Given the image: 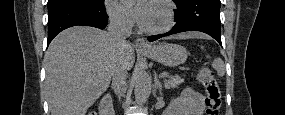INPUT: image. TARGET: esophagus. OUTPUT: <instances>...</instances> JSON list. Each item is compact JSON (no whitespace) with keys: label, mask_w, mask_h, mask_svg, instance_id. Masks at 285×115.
Here are the masks:
<instances>
[{"label":"esophagus","mask_w":285,"mask_h":115,"mask_svg":"<svg viewBox=\"0 0 285 115\" xmlns=\"http://www.w3.org/2000/svg\"><path fill=\"white\" fill-rule=\"evenodd\" d=\"M135 47H136V48H139V49H147V48H150L151 45L146 41L145 38H143V37H138V38L135 40Z\"/></svg>","instance_id":"34e87169"}]
</instances>
